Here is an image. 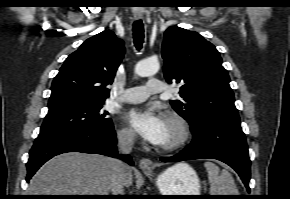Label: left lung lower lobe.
Masks as SVG:
<instances>
[{
    "instance_id": "0a47b994",
    "label": "left lung lower lobe",
    "mask_w": 290,
    "mask_h": 199,
    "mask_svg": "<svg viewBox=\"0 0 290 199\" xmlns=\"http://www.w3.org/2000/svg\"><path fill=\"white\" fill-rule=\"evenodd\" d=\"M193 140L182 153L163 162H178L191 159L211 158L231 166L241 177L248 191L251 161L245 135L240 124H230L205 119L191 125Z\"/></svg>"
}]
</instances>
